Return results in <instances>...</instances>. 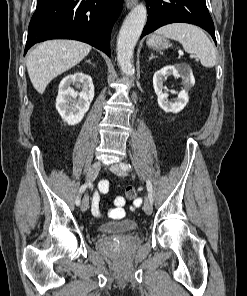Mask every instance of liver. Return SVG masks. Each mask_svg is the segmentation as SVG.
Masks as SVG:
<instances>
[{"label": "liver", "mask_w": 247, "mask_h": 296, "mask_svg": "<svg viewBox=\"0 0 247 296\" xmlns=\"http://www.w3.org/2000/svg\"><path fill=\"white\" fill-rule=\"evenodd\" d=\"M90 51V45L75 40H49L39 44L26 62L33 87L43 94L52 79L78 64Z\"/></svg>", "instance_id": "obj_1"}]
</instances>
